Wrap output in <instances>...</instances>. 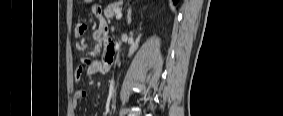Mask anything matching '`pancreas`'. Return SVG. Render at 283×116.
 <instances>
[{
    "instance_id": "obj_1",
    "label": "pancreas",
    "mask_w": 283,
    "mask_h": 116,
    "mask_svg": "<svg viewBox=\"0 0 283 116\" xmlns=\"http://www.w3.org/2000/svg\"><path fill=\"white\" fill-rule=\"evenodd\" d=\"M117 10H120V3L119 2H116V3L109 5L104 10V15L107 19H112L113 16L116 14Z\"/></svg>"
}]
</instances>
